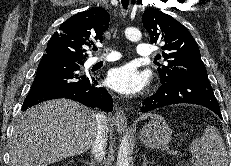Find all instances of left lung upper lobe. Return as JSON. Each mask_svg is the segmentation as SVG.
Wrapping results in <instances>:
<instances>
[{
  "mask_svg": "<svg viewBox=\"0 0 231 166\" xmlns=\"http://www.w3.org/2000/svg\"><path fill=\"white\" fill-rule=\"evenodd\" d=\"M142 21L151 43L163 45L162 56L168 65L158 68L160 81L180 76L208 78L198 45L186 27L154 8L144 12Z\"/></svg>",
  "mask_w": 231,
  "mask_h": 166,
  "instance_id": "obj_1",
  "label": "left lung upper lobe"
}]
</instances>
